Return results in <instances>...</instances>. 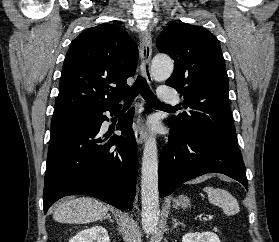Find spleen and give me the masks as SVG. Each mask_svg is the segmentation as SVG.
I'll return each instance as SVG.
<instances>
[{"mask_svg":"<svg viewBox=\"0 0 279 242\" xmlns=\"http://www.w3.org/2000/svg\"><path fill=\"white\" fill-rule=\"evenodd\" d=\"M203 191L207 194L210 203L222 207L227 215H235L239 212V204L237 200L226 190L204 187Z\"/></svg>","mask_w":279,"mask_h":242,"instance_id":"1","label":"spleen"}]
</instances>
